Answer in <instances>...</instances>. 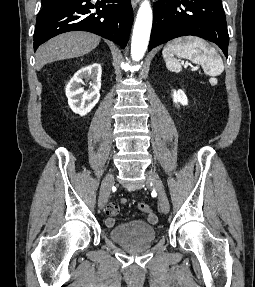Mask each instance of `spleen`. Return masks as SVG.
Wrapping results in <instances>:
<instances>
[{"mask_svg": "<svg viewBox=\"0 0 255 287\" xmlns=\"http://www.w3.org/2000/svg\"><path fill=\"white\" fill-rule=\"evenodd\" d=\"M185 58L193 64H205L206 74L212 76H220L224 70L223 62L214 48H209L205 40L201 38H176L166 44L163 50V58L166 62L168 70L172 72H181V64L176 58Z\"/></svg>", "mask_w": 255, "mask_h": 287, "instance_id": "obj_1", "label": "spleen"}]
</instances>
